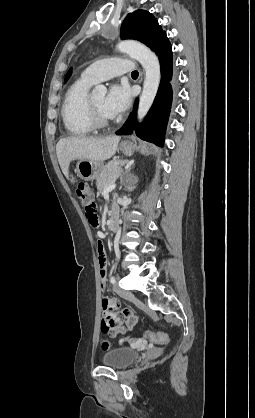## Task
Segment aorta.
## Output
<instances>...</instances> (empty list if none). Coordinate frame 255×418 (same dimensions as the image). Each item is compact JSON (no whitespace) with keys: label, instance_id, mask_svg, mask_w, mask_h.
Masks as SVG:
<instances>
[{"label":"aorta","instance_id":"1","mask_svg":"<svg viewBox=\"0 0 255 418\" xmlns=\"http://www.w3.org/2000/svg\"><path fill=\"white\" fill-rule=\"evenodd\" d=\"M121 52L129 54L142 65L145 71L143 90L139 100L137 118L142 121L152 106L160 83V64L157 56L146 46L136 41H122L117 45ZM107 88L104 85H97L93 94L104 96Z\"/></svg>","mask_w":255,"mask_h":418}]
</instances>
